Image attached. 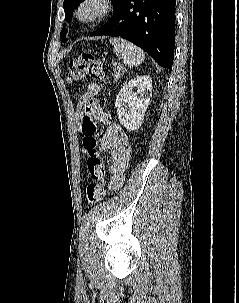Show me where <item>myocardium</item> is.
Wrapping results in <instances>:
<instances>
[{
	"instance_id": "1",
	"label": "myocardium",
	"mask_w": 239,
	"mask_h": 303,
	"mask_svg": "<svg viewBox=\"0 0 239 303\" xmlns=\"http://www.w3.org/2000/svg\"><path fill=\"white\" fill-rule=\"evenodd\" d=\"M114 9L113 0H81L76 7L75 18L80 23L89 24L110 16Z\"/></svg>"
}]
</instances>
